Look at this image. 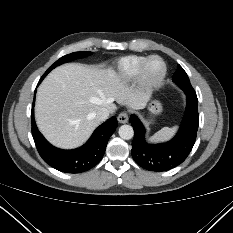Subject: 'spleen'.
I'll return each instance as SVG.
<instances>
[{"label":"spleen","mask_w":233,"mask_h":233,"mask_svg":"<svg viewBox=\"0 0 233 233\" xmlns=\"http://www.w3.org/2000/svg\"><path fill=\"white\" fill-rule=\"evenodd\" d=\"M178 127L174 126L172 128L169 127H164L161 130H159L158 132H156L151 138L150 141L151 142H162V141H167L169 139H171L176 131H177Z\"/></svg>","instance_id":"obj_1"}]
</instances>
